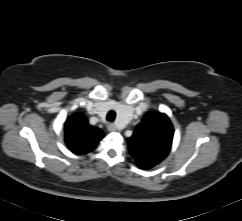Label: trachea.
Listing matches in <instances>:
<instances>
[{
	"label": "trachea",
	"mask_w": 242,
	"mask_h": 221,
	"mask_svg": "<svg viewBox=\"0 0 242 221\" xmlns=\"http://www.w3.org/2000/svg\"><path fill=\"white\" fill-rule=\"evenodd\" d=\"M116 113L115 111L111 110L107 114V120L113 122L115 120Z\"/></svg>",
	"instance_id": "1"
}]
</instances>
